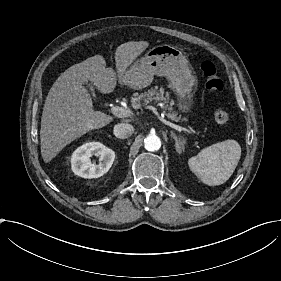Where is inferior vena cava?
Returning a JSON list of instances; mask_svg holds the SVG:
<instances>
[{"label": "inferior vena cava", "instance_id": "1", "mask_svg": "<svg viewBox=\"0 0 281 281\" xmlns=\"http://www.w3.org/2000/svg\"><path fill=\"white\" fill-rule=\"evenodd\" d=\"M113 133L117 138H127L134 133V127L131 124H117Z\"/></svg>", "mask_w": 281, "mask_h": 281}]
</instances>
